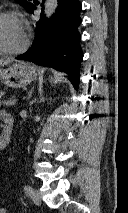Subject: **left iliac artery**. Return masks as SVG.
I'll use <instances>...</instances> for the list:
<instances>
[{"mask_svg":"<svg viewBox=\"0 0 128 213\" xmlns=\"http://www.w3.org/2000/svg\"><path fill=\"white\" fill-rule=\"evenodd\" d=\"M32 191H33V189H32L31 186H29V185H25V186H24V192H25L28 196H30V195L32 194Z\"/></svg>","mask_w":128,"mask_h":213,"instance_id":"44dca946","label":"left iliac artery"}]
</instances>
